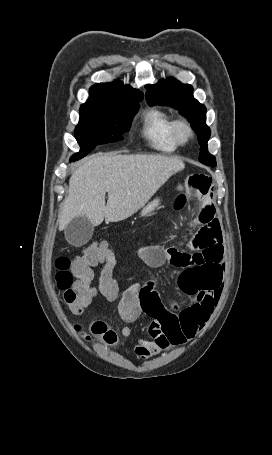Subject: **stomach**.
Segmentation results:
<instances>
[{
  "label": "stomach",
  "mask_w": 272,
  "mask_h": 455,
  "mask_svg": "<svg viewBox=\"0 0 272 455\" xmlns=\"http://www.w3.org/2000/svg\"><path fill=\"white\" fill-rule=\"evenodd\" d=\"M160 206V198H155L144 206L140 212V216L143 218L151 216Z\"/></svg>",
  "instance_id": "stomach-1"
}]
</instances>
